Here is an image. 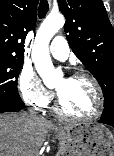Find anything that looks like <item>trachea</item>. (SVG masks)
<instances>
[{"mask_svg": "<svg viewBox=\"0 0 114 156\" xmlns=\"http://www.w3.org/2000/svg\"><path fill=\"white\" fill-rule=\"evenodd\" d=\"M49 10V4L47 0H41L38 7V17L44 18Z\"/></svg>", "mask_w": 114, "mask_h": 156, "instance_id": "trachea-1", "label": "trachea"}]
</instances>
